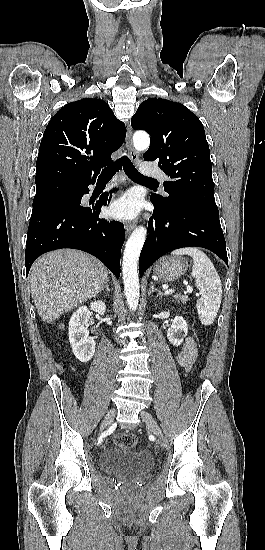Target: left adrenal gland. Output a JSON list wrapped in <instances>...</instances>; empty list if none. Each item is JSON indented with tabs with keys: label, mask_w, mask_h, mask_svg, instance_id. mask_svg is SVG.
Returning a JSON list of instances; mask_svg holds the SVG:
<instances>
[{
	"label": "left adrenal gland",
	"mask_w": 265,
	"mask_h": 550,
	"mask_svg": "<svg viewBox=\"0 0 265 550\" xmlns=\"http://www.w3.org/2000/svg\"><path fill=\"white\" fill-rule=\"evenodd\" d=\"M150 284H151V285H150V288H149V290H148V296H149L151 293H153L154 291H157V289L154 287V284H153L152 281L150 282ZM159 295H160V293H159Z\"/></svg>",
	"instance_id": "1"
}]
</instances>
